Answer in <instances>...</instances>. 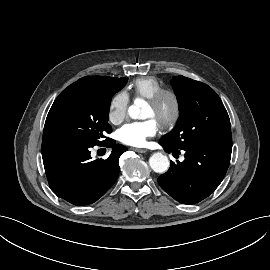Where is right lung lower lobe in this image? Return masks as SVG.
Instances as JSON below:
<instances>
[{"label":"right lung lower lobe","instance_id":"right-lung-lower-lobe-1","mask_svg":"<svg viewBox=\"0 0 270 270\" xmlns=\"http://www.w3.org/2000/svg\"><path fill=\"white\" fill-rule=\"evenodd\" d=\"M112 152L106 159L91 160L90 147L71 143L42 144L41 152L51 190L73 205H88L102 197L119 174V157L127 148L108 138Z\"/></svg>","mask_w":270,"mask_h":270}]
</instances>
